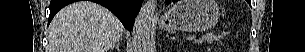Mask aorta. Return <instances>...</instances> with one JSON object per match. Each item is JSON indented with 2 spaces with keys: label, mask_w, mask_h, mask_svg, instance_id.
<instances>
[{
  "label": "aorta",
  "mask_w": 305,
  "mask_h": 52,
  "mask_svg": "<svg viewBox=\"0 0 305 52\" xmlns=\"http://www.w3.org/2000/svg\"><path fill=\"white\" fill-rule=\"evenodd\" d=\"M157 3L154 0L145 2L136 16L132 30V45L134 52H152L150 38L151 22Z\"/></svg>",
  "instance_id": "762f6f07"
}]
</instances>
